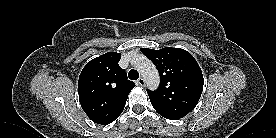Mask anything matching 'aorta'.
Returning <instances> with one entry per match:
<instances>
[{
    "mask_svg": "<svg viewBox=\"0 0 276 138\" xmlns=\"http://www.w3.org/2000/svg\"><path fill=\"white\" fill-rule=\"evenodd\" d=\"M133 64L144 78L147 87L151 90H156L160 82L156 66L144 55H136Z\"/></svg>",
    "mask_w": 276,
    "mask_h": 138,
    "instance_id": "aorta-1",
    "label": "aorta"
}]
</instances>
